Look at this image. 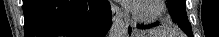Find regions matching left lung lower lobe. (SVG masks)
<instances>
[{"label":"left lung lower lobe","instance_id":"left-lung-lower-lobe-1","mask_svg":"<svg viewBox=\"0 0 219 37\" xmlns=\"http://www.w3.org/2000/svg\"><path fill=\"white\" fill-rule=\"evenodd\" d=\"M158 25V23H154V24H151V25H148V26H138L139 28L141 29H147V28H150V27H153V26H156ZM131 32V28L129 27V33ZM189 37H193V34H187Z\"/></svg>","mask_w":219,"mask_h":37}]
</instances>
